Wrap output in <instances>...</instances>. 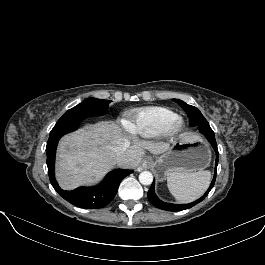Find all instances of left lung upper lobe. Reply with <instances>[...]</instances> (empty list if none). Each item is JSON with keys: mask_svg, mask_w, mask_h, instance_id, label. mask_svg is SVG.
<instances>
[{"mask_svg": "<svg viewBox=\"0 0 265 265\" xmlns=\"http://www.w3.org/2000/svg\"><path fill=\"white\" fill-rule=\"evenodd\" d=\"M173 100L176 103H178L187 113L189 117L190 126H197L199 124L208 123L205 117L201 114V112L196 107L188 105L179 99H173Z\"/></svg>", "mask_w": 265, "mask_h": 265, "instance_id": "obj_1", "label": "left lung upper lobe"}]
</instances>
